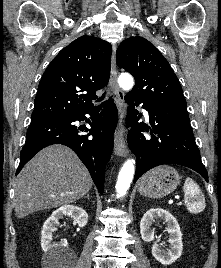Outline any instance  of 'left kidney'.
Wrapping results in <instances>:
<instances>
[{
    "mask_svg": "<svg viewBox=\"0 0 221 268\" xmlns=\"http://www.w3.org/2000/svg\"><path fill=\"white\" fill-rule=\"evenodd\" d=\"M157 218L163 219L167 224L166 231L170 235L168 240L169 249H161V246L158 244L159 240H157L152 246V255L163 265H169L182 255V232L177 220L168 211L160 208L150 209L143 215L140 222V233L145 242L154 240L155 232L151 225Z\"/></svg>",
    "mask_w": 221,
    "mask_h": 268,
    "instance_id": "1",
    "label": "left kidney"
}]
</instances>
